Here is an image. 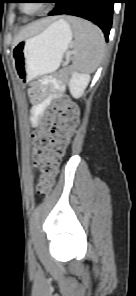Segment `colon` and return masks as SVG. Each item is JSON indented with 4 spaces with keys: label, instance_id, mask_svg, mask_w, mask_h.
I'll list each match as a JSON object with an SVG mask.
<instances>
[{
    "label": "colon",
    "instance_id": "1",
    "mask_svg": "<svg viewBox=\"0 0 136 296\" xmlns=\"http://www.w3.org/2000/svg\"><path fill=\"white\" fill-rule=\"evenodd\" d=\"M77 125V107L66 95L52 101L44 111L40 127L32 135L33 165L40 166L38 194L48 196L51 193L58 167Z\"/></svg>",
    "mask_w": 136,
    "mask_h": 296
}]
</instances>
